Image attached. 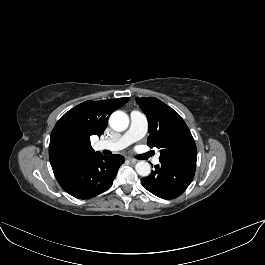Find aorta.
Wrapping results in <instances>:
<instances>
[{
    "label": "aorta",
    "mask_w": 265,
    "mask_h": 265,
    "mask_svg": "<svg viewBox=\"0 0 265 265\" xmlns=\"http://www.w3.org/2000/svg\"><path fill=\"white\" fill-rule=\"evenodd\" d=\"M109 124L111 128L115 131L121 132L128 128L129 125V117L123 111H115L111 114L109 118ZM136 172L143 177H146L151 172V166L146 161H139L135 165Z\"/></svg>",
    "instance_id": "aorta-1"
}]
</instances>
